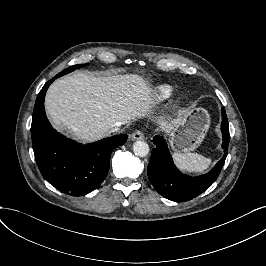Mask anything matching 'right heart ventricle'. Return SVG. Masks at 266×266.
I'll return each mask as SVG.
<instances>
[{"instance_id":"e07e8e85","label":"right heart ventricle","mask_w":266,"mask_h":266,"mask_svg":"<svg viewBox=\"0 0 266 266\" xmlns=\"http://www.w3.org/2000/svg\"><path fill=\"white\" fill-rule=\"evenodd\" d=\"M175 94V87L170 83H158L152 86L146 93L143 107L147 111H153L167 103Z\"/></svg>"}]
</instances>
